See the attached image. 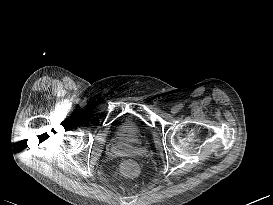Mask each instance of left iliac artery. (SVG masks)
I'll return each mask as SVG.
<instances>
[{"mask_svg": "<svg viewBox=\"0 0 273 205\" xmlns=\"http://www.w3.org/2000/svg\"><path fill=\"white\" fill-rule=\"evenodd\" d=\"M179 107H180V109H181V108L183 107V105L180 104Z\"/></svg>", "mask_w": 273, "mask_h": 205, "instance_id": "left-iliac-artery-1", "label": "left iliac artery"}]
</instances>
